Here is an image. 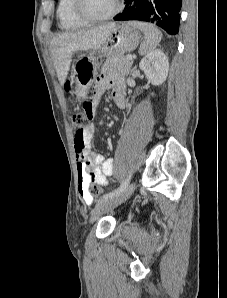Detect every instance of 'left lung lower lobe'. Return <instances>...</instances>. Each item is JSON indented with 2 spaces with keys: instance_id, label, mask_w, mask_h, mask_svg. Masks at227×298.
Here are the masks:
<instances>
[{
  "instance_id": "0a47b994",
  "label": "left lung lower lobe",
  "mask_w": 227,
  "mask_h": 298,
  "mask_svg": "<svg viewBox=\"0 0 227 298\" xmlns=\"http://www.w3.org/2000/svg\"><path fill=\"white\" fill-rule=\"evenodd\" d=\"M126 6L115 21L140 20L155 23L167 33L179 31L181 0H125Z\"/></svg>"
}]
</instances>
